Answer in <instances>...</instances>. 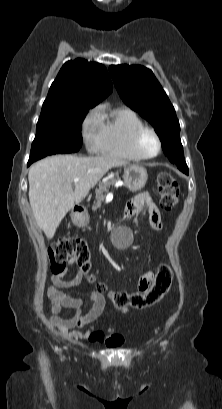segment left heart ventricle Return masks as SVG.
I'll use <instances>...</instances> for the list:
<instances>
[{"mask_svg":"<svg viewBox=\"0 0 222 409\" xmlns=\"http://www.w3.org/2000/svg\"><path fill=\"white\" fill-rule=\"evenodd\" d=\"M141 147L147 155H153L157 152L158 144L151 133H145L141 139Z\"/></svg>","mask_w":222,"mask_h":409,"instance_id":"left-heart-ventricle-1","label":"left heart ventricle"}]
</instances>
